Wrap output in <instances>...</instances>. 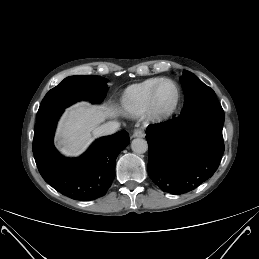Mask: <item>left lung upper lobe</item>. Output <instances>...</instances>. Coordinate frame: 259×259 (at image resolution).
I'll list each match as a JSON object with an SVG mask.
<instances>
[{"label": "left lung upper lobe", "mask_w": 259, "mask_h": 259, "mask_svg": "<svg viewBox=\"0 0 259 259\" xmlns=\"http://www.w3.org/2000/svg\"><path fill=\"white\" fill-rule=\"evenodd\" d=\"M180 82L184 91V106L180 115L205 108L221 107L215 92L191 72L184 70Z\"/></svg>", "instance_id": "5c2ea615"}]
</instances>
